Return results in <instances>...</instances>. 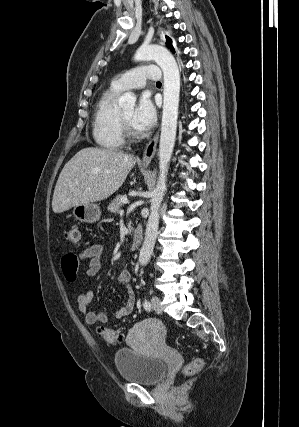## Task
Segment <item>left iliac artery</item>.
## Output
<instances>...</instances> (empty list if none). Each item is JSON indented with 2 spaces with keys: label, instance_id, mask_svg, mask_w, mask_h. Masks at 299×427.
I'll list each match as a JSON object with an SVG mask.
<instances>
[{
  "label": "left iliac artery",
  "instance_id": "1",
  "mask_svg": "<svg viewBox=\"0 0 299 427\" xmlns=\"http://www.w3.org/2000/svg\"><path fill=\"white\" fill-rule=\"evenodd\" d=\"M143 307H144L145 310L150 311L151 310V304H150V302L148 300H145L143 302Z\"/></svg>",
  "mask_w": 299,
  "mask_h": 427
}]
</instances>
